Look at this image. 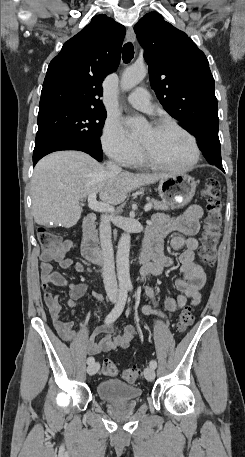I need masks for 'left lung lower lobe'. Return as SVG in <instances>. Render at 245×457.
Instances as JSON below:
<instances>
[{"label": "left lung lower lobe", "instance_id": "0a47b994", "mask_svg": "<svg viewBox=\"0 0 245 457\" xmlns=\"http://www.w3.org/2000/svg\"><path fill=\"white\" fill-rule=\"evenodd\" d=\"M218 126L219 123H209L205 126L199 127V131L194 130L190 133L196 137L198 146L207 162L209 164L215 165L224 172L221 162V148L218 137Z\"/></svg>", "mask_w": 245, "mask_h": 457}]
</instances>
